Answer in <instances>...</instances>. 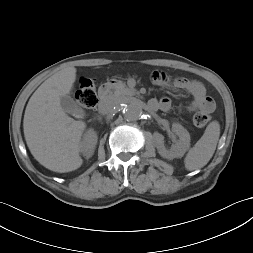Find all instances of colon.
Instances as JSON below:
<instances>
[{
    "label": "colon",
    "mask_w": 253,
    "mask_h": 253,
    "mask_svg": "<svg viewBox=\"0 0 253 253\" xmlns=\"http://www.w3.org/2000/svg\"><path fill=\"white\" fill-rule=\"evenodd\" d=\"M76 99L81 111L92 109L96 106L98 99L95 84L92 79L85 78L81 80ZM209 120L210 116L206 112H198L193 116V124L197 128L205 127Z\"/></svg>",
    "instance_id": "5ec220e1"
}]
</instances>
